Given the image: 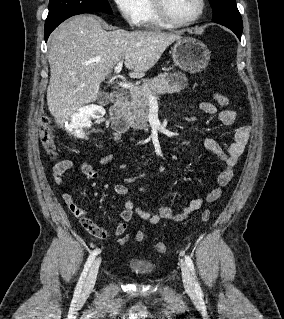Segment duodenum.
I'll return each instance as SVG.
<instances>
[{
  "label": "duodenum",
  "instance_id": "1",
  "mask_svg": "<svg viewBox=\"0 0 284 319\" xmlns=\"http://www.w3.org/2000/svg\"><path fill=\"white\" fill-rule=\"evenodd\" d=\"M111 107L109 111L111 126L117 133H125L129 130V124L125 119L121 107L123 105L124 96L120 92L111 94Z\"/></svg>",
  "mask_w": 284,
  "mask_h": 319
}]
</instances>
